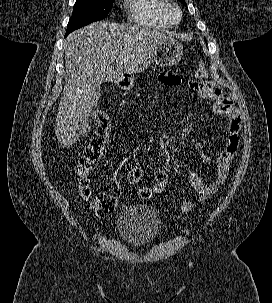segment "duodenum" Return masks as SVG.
<instances>
[{"label":"duodenum","mask_w":272,"mask_h":303,"mask_svg":"<svg viewBox=\"0 0 272 303\" xmlns=\"http://www.w3.org/2000/svg\"><path fill=\"white\" fill-rule=\"evenodd\" d=\"M125 79H126L125 77H121V78L119 79V81L122 82V81H124Z\"/></svg>","instance_id":"duodenum-1"}]
</instances>
